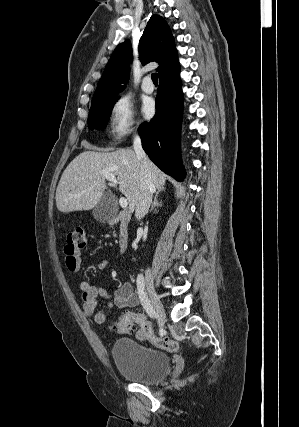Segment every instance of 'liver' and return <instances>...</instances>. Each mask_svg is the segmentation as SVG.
Returning <instances> with one entry per match:
<instances>
[{
	"label": "liver",
	"mask_w": 299,
	"mask_h": 427,
	"mask_svg": "<svg viewBox=\"0 0 299 427\" xmlns=\"http://www.w3.org/2000/svg\"><path fill=\"white\" fill-rule=\"evenodd\" d=\"M151 179L163 190L166 175L149 161ZM117 176L119 190L129 205L136 208L141 188L140 162L130 149L113 152L85 151L64 170L56 190V205L61 212L90 210L100 202L106 189L105 173Z\"/></svg>",
	"instance_id": "1"
}]
</instances>
